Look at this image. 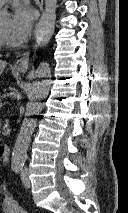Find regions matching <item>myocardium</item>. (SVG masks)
Wrapping results in <instances>:
<instances>
[{
    "mask_svg": "<svg viewBox=\"0 0 128 213\" xmlns=\"http://www.w3.org/2000/svg\"><path fill=\"white\" fill-rule=\"evenodd\" d=\"M0 39L7 46H11V42H10L9 36L5 35L3 32H0Z\"/></svg>",
    "mask_w": 128,
    "mask_h": 213,
    "instance_id": "1",
    "label": "myocardium"
}]
</instances>
